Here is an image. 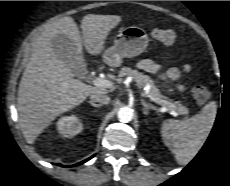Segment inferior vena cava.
I'll list each match as a JSON object with an SVG mask.
<instances>
[{"label": "inferior vena cava", "instance_id": "1", "mask_svg": "<svg viewBox=\"0 0 230 186\" xmlns=\"http://www.w3.org/2000/svg\"><path fill=\"white\" fill-rule=\"evenodd\" d=\"M92 102H99L101 104H108L110 102V97L105 94L93 93L90 95Z\"/></svg>", "mask_w": 230, "mask_h": 186}]
</instances>
